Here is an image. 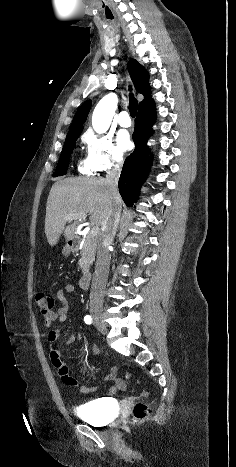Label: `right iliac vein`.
Returning <instances> with one entry per match:
<instances>
[{
	"mask_svg": "<svg viewBox=\"0 0 236 467\" xmlns=\"http://www.w3.org/2000/svg\"><path fill=\"white\" fill-rule=\"evenodd\" d=\"M92 318L97 329L103 334L107 333V327L102 319L101 313L97 311L92 312Z\"/></svg>",
	"mask_w": 236,
	"mask_h": 467,
	"instance_id": "right-iliac-vein-1",
	"label": "right iliac vein"
}]
</instances>
